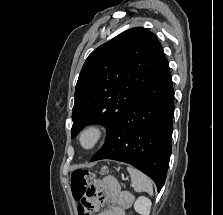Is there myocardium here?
Returning a JSON list of instances; mask_svg holds the SVG:
<instances>
[{"label":"myocardium","instance_id":"1","mask_svg":"<svg viewBox=\"0 0 223 215\" xmlns=\"http://www.w3.org/2000/svg\"><path fill=\"white\" fill-rule=\"evenodd\" d=\"M103 134L104 127L101 124H89L85 126L78 135L79 146L83 150H91L98 144Z\"/></svg>","mask_w":223,"mask_h":215}]
</instances>
